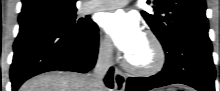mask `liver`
Wrapping results in <instances>:
<instances>
[{"label": "liver", "instance_id": "6515ba94", "mask_svg": "<svg viewBox=\"0 0 220 91\" xmlns=\"http://www.w3.org/2000/svg\"><path fill=\"white\" fill-rule=\"evenodd\" d=\"M91 84L88 74L49 72L29 79L19 91H94Z\"/></svg>", "mask_w": 220, "mask_h": 91}]
</instances>
